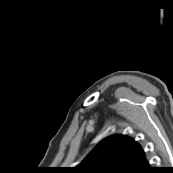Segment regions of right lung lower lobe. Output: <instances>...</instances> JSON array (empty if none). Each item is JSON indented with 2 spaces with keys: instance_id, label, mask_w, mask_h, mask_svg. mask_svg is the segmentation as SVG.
<instances>
[{
  "instance_id": "98d812e1",
  "label": "right lung lower lobe",
  "mask_w": 173,
  "mask_h": 173,
  "mask_svg": "<svg viewBox=\"0 0 173 173\" xmlns=\"http://www.w3.org/2000/svg\"><path fill=\"white\" fill-rule=\"evenodd\" d=\"M126 173H154V170L151 167H149L148 162L144 159L136 165H134Z\"/></svg>"
}]
</instances>
